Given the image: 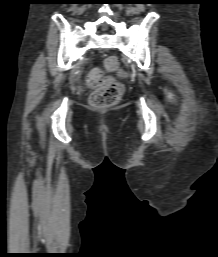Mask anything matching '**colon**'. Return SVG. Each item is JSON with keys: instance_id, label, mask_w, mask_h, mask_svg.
Wrapping results in <instances>:
<instances>
[{"instance_id": "colon-1", "label": "colon", "mask_w": 218, "mask_h": 257, "mask_svg": "<svg viewBox=\"0 0 218 257\" xmlns=\"http://www.w3.org/2000/svg\"><path fill=\"white\" fill-rule=\"evenodd\" d=\"M104 71H119L118 79H133L130 71L120 70L119 61L115 56H109L104 60L103 69L93 68L88 74L87 83L93 90L90 96V105L95 109L115 105L124 92V86L120 82L111 77L103 78Z\"/></svg>"}]
</instances>
